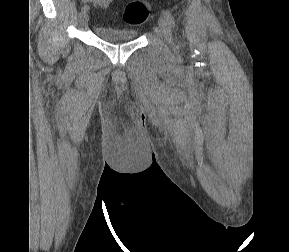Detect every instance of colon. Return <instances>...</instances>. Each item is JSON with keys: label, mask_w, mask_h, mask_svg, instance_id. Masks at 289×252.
<instances>
[{"label": "colon", "mask_w": 289, "mask_h": 252, "mask_svg": "<svg viewBox=\"0 0 289 252\" xmlns=\"http://www.w3.org/2000/svg\"><path fill=\"white\" fill-rule=\"evenodd\" d=\"M151 6L143 0L128 3L122 12V19L126 24L138 26L143 24L151 15Z\"/></svg>", "instance_id": "5ec220e1"}]
</instances>
